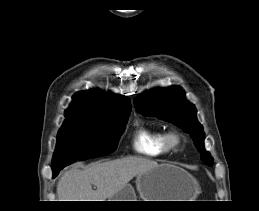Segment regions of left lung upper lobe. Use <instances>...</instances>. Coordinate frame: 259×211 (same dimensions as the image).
<instances>
[{
	"label": "left lung upper lobe",
	"instance_id": "5c2ea615",
	"mask_svg": "<svg viewBox=\"0 0 259 211\" xmlns=\"http://www.w3.org/2000/svg\"><path fill=\"white\" fill-rule=\"evenodd\" d=\"M134 104L139 113L169 121L190 134L201 159L209 165L213 164L210 153L204 149V132L202 125L197 121L196 109L185 99L184 92L179 86L145 92Z\"/></svg>",
	"mask_w": 259,
	"mask_h": 211
}]
</instances>
